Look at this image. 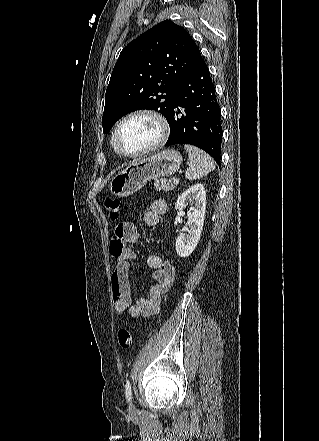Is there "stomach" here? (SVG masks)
<instances>
[{
  "mask_svg": "<svg viewBox=\"0 0 319 441\" xmlns=\"http://www.w3.org/2000/svg\"><path fill=\"white\" fill-rule=\"evenodd\" d=\"M182 162L180 153L170 149L145 159H135L111 180V194L127 197L140 190L150 179L166 177L178 171Z\"/></svg>",
  "mask_w": 319,
  "mask_h": 441,
  "instance_id": "obj_1",
  "label": "stomach"
}]
</instances>
